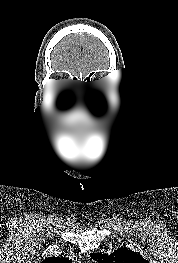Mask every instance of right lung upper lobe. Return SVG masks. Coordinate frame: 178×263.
<instances>
[{"instance_id": "obj_1", "label": "right lung upper lobe", "mask_w": 178, "mask_h": 263, "mask_svg": "<svg viewBox=\"0 0 178 263\" xmlns=\"http://www.w3.org/2000/svg\"><path fill=\"white\" fill-rule=\"evenodd\" d=\"M41 263H71V261L63 258L62 256L61 257L52 256L44 259Z\"/></svg>"}]
</instances>
